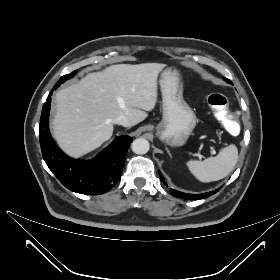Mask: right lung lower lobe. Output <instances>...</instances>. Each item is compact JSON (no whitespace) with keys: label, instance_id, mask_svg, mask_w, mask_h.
Here are the masks:
<instances>
[{"label":"right lung lower lobe","instance_id":"obj_1","mask_svg":"<svg viewBox=\"0 0 280 280\" xmlns=\"http://www.w3.org/2000/svg\"><path fill=\"white\" fill-rule=\"evenodd\" d=\"M51 95L43 106L39 124L40 146L47 166L73 192L86 195L108 192L121 178L132 138L127 135L117 137L91 161H79L66 156L55 145L48 128Z\"/></svg>","mask_w":280,"mask_h":280}]
</instances>
